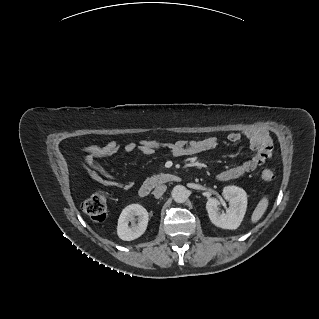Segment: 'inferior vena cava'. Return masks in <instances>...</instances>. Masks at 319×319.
Masks as SVG:
<instances>
[{"mask_svg": "<svg viewBox=\"0 0 319 319\" xmlns=\"http://www.w3.org/2000/svg\"><path fill=\"white\" fill-rule=\"evenodd\" d=\"M166 189H167L166 185H158L153 191L154 197L157 199L160 198L164 194Z\"/></svg>", "mask_w": 319, "mask_h": 319, "instance_id": "602c4592", "label": "inferior vena cava"}]
</instances>
